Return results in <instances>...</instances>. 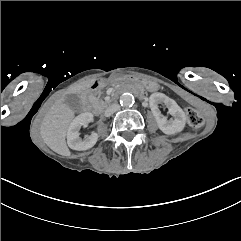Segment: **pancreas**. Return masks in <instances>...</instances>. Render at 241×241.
<instances>
[{"instance_id": "1", "label": "pancreas", "mask_w": 241, "mask_h": 241, "mask_svg": "<svg viewBox=\"0 0 241 241\" xmlns=\"http://www.w3.org/2000/svg\"><path fill=\"white\" fill-rule=\"evenodd\" d=\"M90 102L92 103V105H93V107L94 108H98V109H103V108H105L107 105H108V103L109 102H104V101H102V100H100V101H98V99H96L95 97H90ZM96 102H99L100 104H99V106H96Z\"/></svg>"}]
</instances>
